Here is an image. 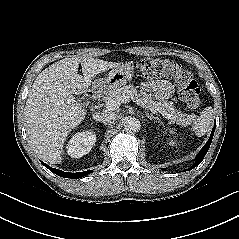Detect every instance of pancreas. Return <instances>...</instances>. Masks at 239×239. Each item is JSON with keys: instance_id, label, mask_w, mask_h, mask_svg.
<instances>
[{"instance_id": "1", "label": "pancreas", "mask_w": 239, "mask_h": 239, "mask_svg": "<svg viewBox=\"0 0 239 239\" xmlns=\"http://www.w3.org/2000/svg\"><path fill=\"white\" fill-rule=\"evenodd\" d=\"M128 97L134 100L138 105L147 109H161L173 116L171 121L178 125L186 126L191 122V118L174 108L173 102L167 100H156L149 94L138 93L137 89L133 85H127L112 89L104 96V101L107 103L110 100H118L123 97Z\"/></svg>"}]
</instances>
